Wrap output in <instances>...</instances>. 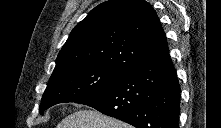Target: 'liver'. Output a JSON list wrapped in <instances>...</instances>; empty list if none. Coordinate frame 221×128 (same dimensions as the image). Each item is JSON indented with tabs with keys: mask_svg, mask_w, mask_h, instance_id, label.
I'll list each match as a JSON object with an SVG mask.
<instances>
[{
	"mask_svg": "<svg viewBox=\"0 0 221 128\" xmlns=\"http://www.w3.org/2000/svg\"><path fill=\"white\" fill-rule=\"evenodd\" d=\"M56 128H132L94 109L79 110L65 117Z\"/></svg>",
	"mask_w": 221,
	"mask_h": 128,
	"instance_id": "obj_1",
	"label": "liver"
}]
</instances>
